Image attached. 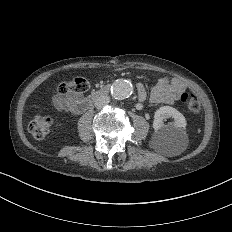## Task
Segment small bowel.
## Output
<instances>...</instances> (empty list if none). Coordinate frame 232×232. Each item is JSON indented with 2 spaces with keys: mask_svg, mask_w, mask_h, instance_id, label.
I'll return each mask as SVG.
<instances>
[{
  "mask_svg": "<svg viewBox=\"0 0 232 232\" xmlns=\"http://www.w3.org/2000/svg\"><path fill=\"white\" fill-rule=\"evenodd\" d=\"M185 89V83L178 78H162L157 81L151 93L145 86L138 85L134 101L138 104L144 102L150 104L176 102Z\"/></svg>",
  "mask_w": 232,
  "mask_h": 232,
  "instance_id": "obj_1",
  "label": "small bowel"
}]
</instances>
